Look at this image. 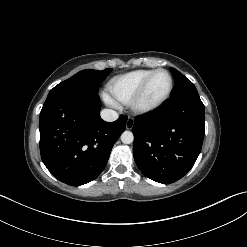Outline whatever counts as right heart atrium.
Listing matches in <instances>:
<instances>
[{"mask_svg":"<svg viewBox=\"0 0 247 247\" xmlns=\"http://www.w3.org/2000/svg\"><path fill=\"white\" fill-rule=\"evenodd\" d=\"M105 99H106L108 104H110L112 106H116V103L111 98H109L108 96H106Z\"/></svg>","mask_w":247,"mask_h":247,"instance_id":"obj_1","label":"right heart atrium"}]
</instances>
